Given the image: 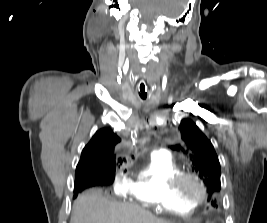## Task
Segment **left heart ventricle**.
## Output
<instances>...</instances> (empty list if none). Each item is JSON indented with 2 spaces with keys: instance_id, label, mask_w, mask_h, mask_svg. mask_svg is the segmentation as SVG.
<instances>
[{
  "instance_id": "obj_1",
  "label": "left heart ventricle",
  "mask_w": 267,
  "mask_h": 223,
  "mask_svg": "<svg viewBox=\"0 0 267 223\" xmlns=\"http://www.w3.org/2000/svg\"><path fill=\"white\" fill-rule=\"evenodd\" d=\"M188 190L193 195H199L200 194V188L194 182L188 183Z\"/></svg>"
}]
</instances>
